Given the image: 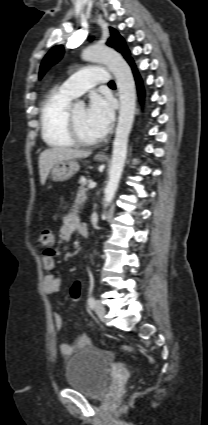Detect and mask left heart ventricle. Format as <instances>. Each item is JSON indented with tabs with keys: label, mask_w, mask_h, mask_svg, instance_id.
<instances>
[{
	"label": "left heart ventricle",
	"mask_w": 208,
	"mask_h": 425,
	"mask_svg": "<svg viewBox=\"0 0 208 425\" xmlns=\"http://www.w3.org/2000/svg\"><path fill=\"white\" fill-rule=\"evenodd\" d=\"M74 119L77 127L83 138L87 140L99 139L98 135L92 130L86 120V109L83 107H77L73 109Z\"/></svg>",
	"instance_id": "left-heart-ventricle-1"
}]
</instances>
